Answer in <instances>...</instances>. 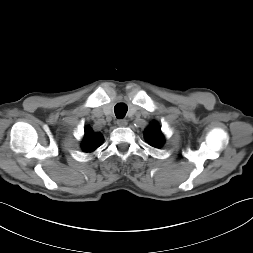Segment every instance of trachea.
<instances>
[{
  "label": "trachea",
  "instance_id": "1",
  "mask_svg": "<svg viewBox=\"0 0 253 253\" xmlns=\"http://www.w3.org/2000/svg\"><path fill=\"white\" fill-rule=\"evenodd\" d=\"M128 107L125 103H118L114 107V112L117 118H124L127 113Z\"/></svg>",
  "mask_w": 253,
  "mask_h": 253
}]
</instances>
